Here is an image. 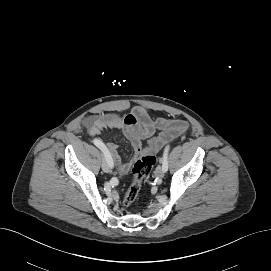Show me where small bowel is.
<instances>
[{"instance_id":"small-bowel-1","label":"small bowel","mask_w":271,"mask_h":271,"mask_svg":"<svg viewBox=\"0 0 271 271\" xmlns=\"http://www.w3.org/2000/svg\"><path fill=\"white\" fill-rule=\"evenodd\" d=\"M84 124L91 136L98 135L107 129L121 131L132 145L135 160L149 150L160 148L167 140L181 134L188 127V123L181 119L152 118L146 109L140 106H135L126 115L99 114L89 116L85 119ZM156 130H159L160 133L154 136ZM144 140L148 141L147 148L143 146ZM107 147L119 174L126 175L131 168V163L121 160L116 144L108 143Z\"/></svg>"}]
</instances>
